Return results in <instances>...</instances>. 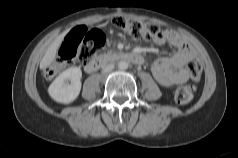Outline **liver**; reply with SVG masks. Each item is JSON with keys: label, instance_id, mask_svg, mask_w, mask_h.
Wrapping results in <instances>:
<instances>
[{"label": "liver", "instance_id": "liver-1", "mask_svg": "<svg viewBox=\"0 0 238 158\" xmlns=\"http://www.w3.org/2000/svg\"><path fill=\"white\" fill-rule=\"evenodd\" d=\"M67 32L62 33L59 35L49 46V48L46 50L41 62H40V69H46L55 59L57 49L60 46L65 34Z\"/></svg>", "mask_w": 238, "mask_h": 158}]
</instances>
